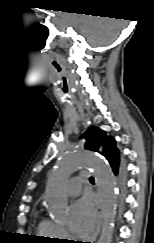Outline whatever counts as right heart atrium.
I'll list each match as a JSON object with an SVG mask.
<instances>
[{
  "label": "right heart atrium",
  "instance_id": "d8ad5b80",
  "mask_svg": "<svg viewBox=\"0 0 154 243\" xmlns=\"http://www.w3.org/2000/svg\"><path fill=\"white\" fill-rule=\"evenodd\" d=\"M59 235L62 238H67L68 237V233H67V231L63 227H60L59 228Z\"/></svg>",
  "mask_w": 154,
  "mask_h": 243
}]
</instances>
